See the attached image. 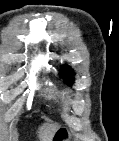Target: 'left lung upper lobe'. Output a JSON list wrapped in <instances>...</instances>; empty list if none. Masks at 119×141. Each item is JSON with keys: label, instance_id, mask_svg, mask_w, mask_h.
Listing matches in <instances>:
<instances>
[{"label": "left lung upper lobe", "instance_id": "left-lung-upper-lobe-1", "mask_svg": "<svg viewBox=\"0 0 119 141\" xmlns=\"http://www.w3.org/2000/svg\"><path fill=\"white\" fill-rule=\"evenodd\" d=\"M71 74H72V71H71V69L68 66H64L62 68V76L63 75L65 76V78H64L65 82H67L68 84L72 83Z\"/></svg>", "mask_w": 119, "mask_h": 141}]
</instances>
